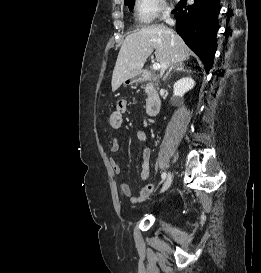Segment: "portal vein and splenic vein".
Here are the masks:
<instances>
[{
    "mask_svg": "<svg viewBox=\"0 0 261 273\" xmlns=\"http://www.w3.org/2000/svg\"><path fill=\"white\" fill-rule=\"evenodd\" d=\"M152 68L154 70H159L161 68V65H160V63H154L153 66H152Z\"/></svg>",
    "mask_w": 261,
    "mask_h": 273,
    "instance_id": "18ae733b",
    "label": "portal vein and splenic vein"
}]
</instances>
